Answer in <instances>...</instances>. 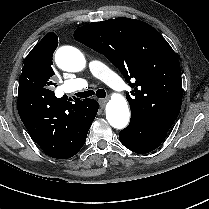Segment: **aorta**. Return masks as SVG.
I'll return each instance as SVG.
<instances>
[{
  "label": "aorta",
  "instance_id": "1",
  "mask_svg": "<svg viewBox=\"0 0 209 209\" xmlns=\"http://www.w3.org/2000/svg\"><path fill=\"white\" fill-rule=\"evenodd\" d=\"M59 68L69 72H79L85 68L86 59L83 53L75 47L63 46L55 54ZM106 119L116 129L125 128L130 119L126 99L120 94H114L106 105Z\"/></svg>",
  "mask_w": 209,
  "mask_h": 209
}]
</instances>
